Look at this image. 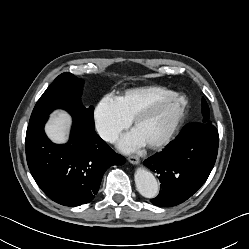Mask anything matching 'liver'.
Masks as SVG:
<instances>
[{"label":"liver","mask_w":249,"mask_h":249,"mask_svg":"<svg viewBox=\"0 0 249 249\" xmlns=\"http://www.w3.org/2000/svg\"><path fill=\"white\" fill-rule=\"evenodd\" d=\"M70 122L71 119L67 113L63 111L53 113L45 127L48 137L56 143H65Z\"/></svg>","instance_id":"1"}]
</instances>
